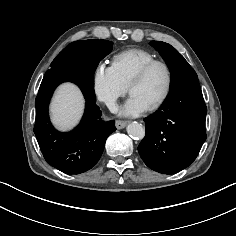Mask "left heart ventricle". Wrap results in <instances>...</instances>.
Here are the masks:
<instances>
[{
  "instance_id": "left-heart-ventricle-1",
  "label": "left heart ventricle",
  "mask_w": 236,
  "mask_h": 236,
  "mask_svg": "<svg viewBox=\"0 0 236 236\" xmlns=\"http://www.w3.org/2000/svg\"><path fill=\"white\" fill-rule=\"evenodd\" d=\"M167 83L166 71L162 66H155L146 78L131 89V94L138 96L148 106L154 104L164 93Z\"/></svg>"
}]
</instances>
